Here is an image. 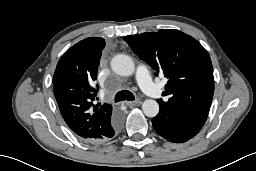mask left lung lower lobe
<instances>
[{
  "label": "left lung lower lobe",
  "instance_id": "0a47b994",
  "mask_svg": "<svg viewBox=\"0 0 256 171\" xmlns=\"http://www.w3.org/2000/svg\"><path fill=\"white\" fill-rule=\"evenodd\" d=\"M155 131L168 141L182 143L193 138L201 128L189 123L180 113L160 108L159 114L153 118Z\"/></svg>",
  "mask_w": 256,
  "mask_h": 171
}]
</instances>
